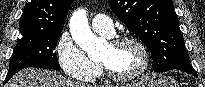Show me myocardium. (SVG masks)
I'll use <instances>...</instances> for the list:
<instances>
[{
	"label": "myocardium",
	"mask_w": 205,
	"mask_h": 87,
	"mask_svg": "<svg viewBox=\"0 0 205 87\" xmlns=\"http://www.w3.org/2000/svg\"><path fill=\"white\" fill-rule=\"evenodd\" d=\"M111 46L118 47L126 44H132L135 45L142 54V63L138 70L131 74L127 75H117L113 73L106 64L103 62H100V66L104 72V74L112 81L118 82V83H128L137 80L140 78L148 69L149 62H150V55L149 51L146 47V45L139 39L135 37H121L113 40L111 43Z\"/></svg>",
	"instance_id": "myocardium-1"
}]
</instances>
